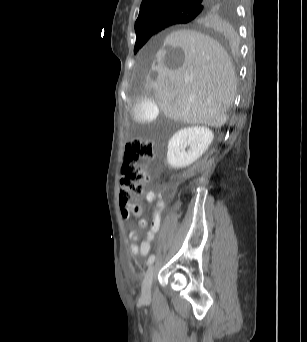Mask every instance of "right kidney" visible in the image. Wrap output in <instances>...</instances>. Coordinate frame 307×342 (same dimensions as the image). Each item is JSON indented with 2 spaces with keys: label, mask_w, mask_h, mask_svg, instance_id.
<instances>
[{
  "label": "right kidney",
  "mask_w": 307,
  "mask_h": 342,
  "mask_svg": "<svg viewBox=\"0 0 307 342\" xmlns=\"http://www.w3.org/2000/svg\"><path fill=\"white\" fill-rule=\"evenodd\" d=\"M214 134L204 126H192L176 132L168 142L167 162L170 168H187L196 162L213 142ZM190 146L189 150H185Z\"/></svg>",
  "instance_id": "ca27d5eb"
}]
</instances>
